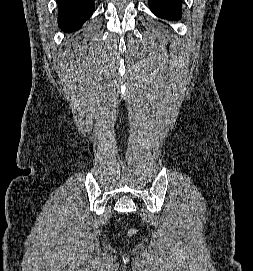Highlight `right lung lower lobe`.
Here are the masks:
<instances>
[{
	"label": "right lung lower lobe",
	"instance_id": "98d812e1",
	"mask_svg": "<svg viewBox=\"0 0 253 271\" xmlns=\"http://www.w3.org/2000/svg\"><path fill=\"white\" fill-rule=\"evenodd\" d=\"M57 3L58 23L66 32L79 29L94 11V0H57Z\"/></svg>",
	"mask_w": 253,
	"mask_h": 271
}]
</instances>
